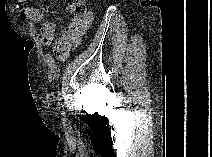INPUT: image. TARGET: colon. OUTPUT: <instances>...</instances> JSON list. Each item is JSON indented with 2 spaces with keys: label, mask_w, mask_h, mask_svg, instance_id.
Listing matches in <instances>:
<instances>
[{
  "label": "colon",
  "mask_w": 212,
  "mask_h": 157,
  "mask_svg": "<svg viewBox=\"0 0 212 157\" xmlns=\"http://www.w3.org/2000/svg\"><path fill=\"white\" fill-rule=\"evenodd\" d=\"M66 9L76 15H82L85 12V2L83 0H67Z\"/></svg>",
  "instance_id": "obj_1"
}]
</instances>
